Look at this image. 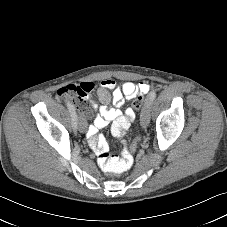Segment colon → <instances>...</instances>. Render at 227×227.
Returning <instances> with one entry per match:
<instances>
[{
	"mask_svg": "<svg viewBox=\"0 0 227 227\" xmlns=\"http://www.w3.org/2000/svg\"><path fill=\"white\" fill-rule=\"evenodd\" d=\"M80 95L81 91L74 85H68L58 90L59 97L75 98ZM143 101L142 96L137 97L133 102V108L139 110L143 105ZM136 148L137 145L132 143L130 147L126 149L122 160L115 159L108 153H102L98 156V163L107 172L121 173L130 167L133 160L132 153Z\"/></svg>",
	"mask_w": 227,
	"mask_h": 227,
	"instance_id": "colon-1",
	"label": "colon"
}]
</instances>
